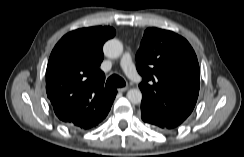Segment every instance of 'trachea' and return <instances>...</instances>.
I'll return each instance as SVG.
<instances>
[{
	"mask_svg": "<svg viewBox=\"0 0 244 157\" xmlns=\"http://www.w3.org/2000/svg\"><path fill=\"white\" fill-rule=\"evenodd\" d=\"M126 85L123 78H121L118 75H111L107 81H106V87L112 88V87H124Z\"/></svg>",
	"mask_w": 244,
	"mask_h": 157,
	"instance_id": "3493384b",
	"label": "trachea"
}]
</instances>
